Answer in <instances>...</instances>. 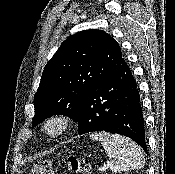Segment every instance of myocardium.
<instances>
[{
  "mask_svg": "<svg viewBox=\"0 0 175 174\" xmlns=\"http://www.w3.org/2000/svg\"><path fill=\"white\" fill-rule=\"evenodd\" d=\"M70 123L68 116L61 113L53 114L45 119L43 132L51 138H57L68 131Z\"/></svg>",
  "mask_w": 175,
  "mask_h": 174,
  "instance_id": "1",
  "label": "myocardium"
}]
</instances>
